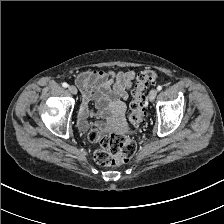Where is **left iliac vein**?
Instances as JSON below:
<instances>
[{
	"mask_svg": "<svg viewBox=\"0 0 224 224\" xmlns=\"http://www.w3.org/2000/svg\"><path fill=\"white\" fill-rule=\"evenodd\" d=\"M156 96H157V90L156 89H151V91L149 92V96H148L149 100L154 101Z\"/></svg>",
	"mask_w": 224,
	"mask_h": 224,
	"instance_id": "1",
	"label": "left iliac vein"
}]
</instances>
